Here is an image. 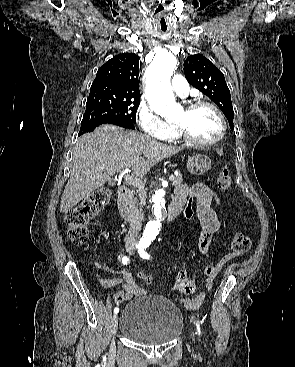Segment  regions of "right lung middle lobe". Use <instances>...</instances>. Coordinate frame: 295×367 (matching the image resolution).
Here are the masks:
<instances>
[{
	"label": "right lung middle lobe",
	"instance_id": "right-lung-middle-lobe-1",
	"mask_svg": "<svg viewBox=\"0 0 295 367\" xmlns=\"http://www.w3.org/2000/svg\"><path fill=\"white\" fill-rule=\"evenodd\" d=\"M140 98L120 96L104 92H90L81 129L97 123L113 121L136 122Z\"/></svg>",
	"mask_w": 295,
	"mask_h": 367
}]
</instances>
